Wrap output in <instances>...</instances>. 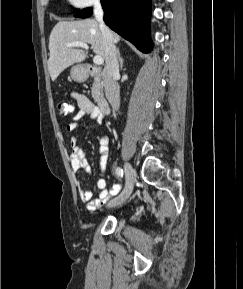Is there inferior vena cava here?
I'll return each instance as SVG.
<instances>
[{
    "instance_id": "602c4592",
    "label": "inferior vena cava",
    "mask_w": 243,
    "mask_h": 289,
    "mask_svg": "<svg viewBox=\"0 0 243 289\" xmlns=\"http://www.w3.org/2000/svg\"><path fill=\"white\" fill-rule=\"evenodd\" d=\"M103 14L101 4L96 2L94 5V15L99 23L105 48L106 65L103 71L105 94L112 108L118 110L120 106V95L119 86L116 82L119 77L117 50L113 42L112 33L103 21Z\"/></svg>"
}]
</instances>
